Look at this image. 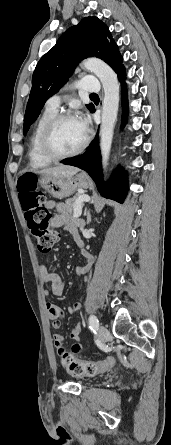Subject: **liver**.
Masks as SVG:
<instances>
[{
    "instance_id": "1",
    "label": "liver",
    "mask_w": 171,
    "mask_h": 445,
    "mask_svg": "<svg viewBox=\"0 0 171 445\" xmlns=\"http://www.w3.org/2000/svg\"><path fill=\"white\" fill-rule=\"evenodd\" d=\"M78 171H79V169L76 167L60 165V166L40 170L37 173L41 174V175H50V176H56V177H72Z\"/></svg>"
}]
</instances>
